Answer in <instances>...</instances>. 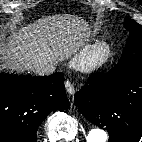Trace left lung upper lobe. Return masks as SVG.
Instances as JSON below:
<instances>
[{
    "mask_svg": "<svg viewBox=\"0 0 142 142\" xmlns=\"http://www.w3.org/2000/svg\"><path fill=\"white\" fill-rule=\"evenodd\" d=\"M124 25L129 30V38L114 70L142 67V26L132 19H126Z\"/></svg>",
    "mask_w": 142,
    "mask_h": 142,
    "instance_id": "5c2ea615",
    "label": "left lung upper lobe"
}]
</instances>
